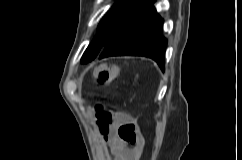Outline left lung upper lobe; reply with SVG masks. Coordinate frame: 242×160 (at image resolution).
I'll list each match as a JSON object with an SVG mask.
<instances>
[{"mask_svg":"<svg viewBox=\"0 0 242 160\" xmlns=\"http://www.w3.org/2000/svg\"><path fill=\"white\" fill-rule=\"evenodd\" d=\"M156 0H120L100 22L97 36L84 52L81 63L96 58L104 46L125 27L132 24Z\"/></svg>","mask_w":242,"mask_h":160,"instance_id":"left-lung-upper-lobe-1","label":"left lung upper lobe"}]
</instances>
